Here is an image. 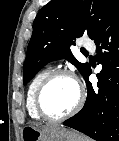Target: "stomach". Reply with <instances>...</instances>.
Here are the masks:
<instances>
[{
	"label": "stomach",
	"mask_w": 119,
	"mask_h": 141,
	"mask_svg": "<svg viewBox=\"0 0 119 141\" xmlns=\"http://www.w3.org/2000/svg\"><path fill=\"white\" fill-rule=\"evenodd\" d=\"M22 141H86L79 133L60 126H26L22 130Z\"/></svg>",
	"instance_id": "stomach-1"
}]
</instances>
